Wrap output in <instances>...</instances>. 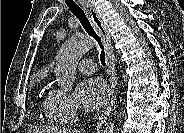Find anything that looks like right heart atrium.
Here are the masks:
<instances>
[{"instance_id": "d8ad5b80", "label": "right heart atrium", "mask_w": 184, "mask_h": 133, "mask_svg": "<svg viewBox=\"0 0 184 133\" xmlns=\"http://www.w3.org/2000/svg\"><path fill=\"white\" fill-rule=\"evenodd\" d=\"M53 108L61 122H69L76 118L77 107L70 93L64 90L51 92Z\"/></svg>"}]
</instances>
